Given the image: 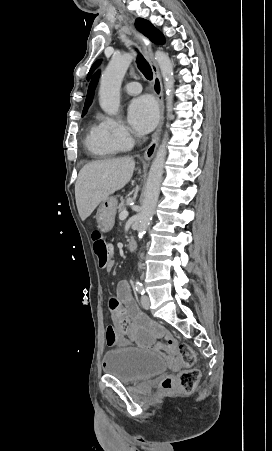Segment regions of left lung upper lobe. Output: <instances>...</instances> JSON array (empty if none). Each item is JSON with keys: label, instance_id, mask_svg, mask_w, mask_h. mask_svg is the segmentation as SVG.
<instances>
[{"label": "left lung upper lobe", "instance_id": "left-lung-upper-lobe-1", "mask_svg": "<svg viewBox=\"0 0 272 451\" xmlns=\"http://www.w3.org/2000/svg\"><path fill=\"white\" fill-rule=\"evenodd\" d=\"M136 28L144 34L146 37L150 39L153 43L156 44H164V36L163 34L158 31L149 21L138 18L135 23ZM100 64V60L96 61L93 66L91 67L89 74L87 78L89 79L91 73L93 70Z\"/></svg>", "mask_w": 272, "mask_h": 451}]
</instances>
